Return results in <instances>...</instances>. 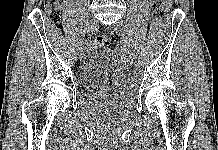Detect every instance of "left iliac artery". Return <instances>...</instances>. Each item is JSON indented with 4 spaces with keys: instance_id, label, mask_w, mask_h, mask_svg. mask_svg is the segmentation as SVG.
Masks as SVG:
<instances>
[{
    "instance_id": "left-iliac-artery-1",
    "label": "left iliac artery",
    "mask_w": 218,
    "mask_h": 150,
    "mask_svg": "<svg viewBox=\"0 0 218 150\" xmlns=\"http://www.w3.org/2000/svg\"><path fill=\"white\" fill-rule=\"evenodd\" d=\"M126 40L128 41V44H129V45H127V50H130V49L132 50V45L135 42V37H132V34H131L130 31H129L128 35H127Z\"/></svg>"
}]
</instances>
